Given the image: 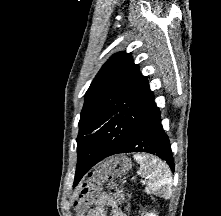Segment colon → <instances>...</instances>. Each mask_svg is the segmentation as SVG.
Listing matches in <instances>:
<instances>
[{"mask_svg": "<svg viewBox=\"0 0 221 216\" xmlns=\"http://www.w3.org/2000/svg\"><path fill=\"white\" fill-rule=\"evenodd\" d=\"M130 168V161L126 158H112L103 164L99 165L93 170L91 174V179L95 183L89 188L82 190L79 198L75 201L74 206L76 209V216H85L94 202V194L97 192L96 184L107 179L110 180L114 173L125 172ZM110 190L113 193L121 192V199L126 200L129 195L120 191L119 188L110 182Z\"/></svg>", "mask_w": 221, "mask_h": 216, "instance_id": "obj_1", "label": "colon"}]
</instances>
